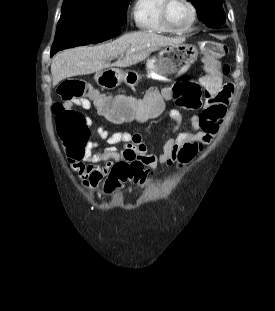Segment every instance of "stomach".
Masks as SVG:
<instances>
[{
    "instance_id": "1",
    "label": "stomach",
    "mask_w": 275,
    "mask_h": 311,
    "mask_svg": "<svg viewBox=\"0 0 275 311\" xmlns=\"http://www.w3.org/2000/svg\"><path fill=\"white\" fill-rule=\"evenodd\" d=\"M197 57L198 50L191 44L178 43L161 47L147 59L146 70L151 78L170 82L184 74ZM98 72L95 74L97 84L107 89L116 87L122 82L136 86L140 80V76L134 71L107 68Z\"/></svg>"
}]
</instances>
